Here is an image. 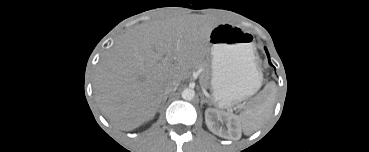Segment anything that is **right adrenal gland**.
Listing matches in <instances>:
<instances>
[{
	"instance_id": "obj_1",
	"label": "right adrenal gland",
	"mask_w": 369,
	"mask_h": 152,
	"mask_svg": "<svg viewBox=\"0 0 369 152\" xmlns=\"http://www.w3.org/2000/svg\"><path fill=\"white\" fill-rule=\"evenodd\" d=\"M167 97V95L163 97L162 103L160 104L159 108H161L166 103Z\"/></svg>"
}]
</instances>
